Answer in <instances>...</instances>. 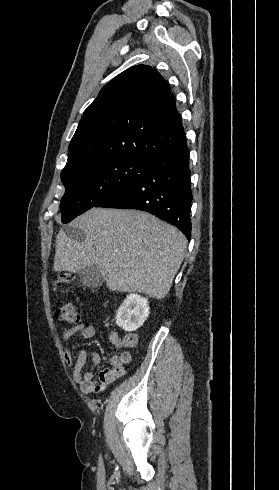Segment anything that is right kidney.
<instances>
[{
    "label": "right kidney",
    "mask_w": 279,
    "mask_h": 490,
    "mask_svg": "<svg viewBox=\"0 0 279 490\" xmlns=\"http://www.w3.org/2000/svg\"><path fill=\"white\" fill-rule=\"evenodd\" d=\"M149 302L138 294L126 296L116 314V324L125 332H135L143 326L149 316Z\"/></svg>",
    "instance_id": "ca27d5eb"
}]
</instances>
